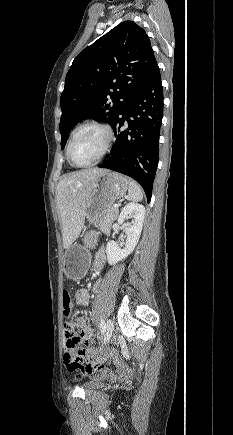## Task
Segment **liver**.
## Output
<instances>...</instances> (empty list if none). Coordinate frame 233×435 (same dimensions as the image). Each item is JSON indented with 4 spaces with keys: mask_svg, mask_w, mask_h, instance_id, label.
<instances>
[{
    "mask_svg": "<svg viewBox=\"0 0 233 435\" xmlns=\"http://www.w3.org/2000/svg\"><path fill=\"white\" fill-rule=\"evenodd\" d=\"M106 171L100 168L84 169L69 174L58 183L56 202L65 249H68L80 235L96 179Z\"/></svg>",
    "mask_w": 233,
    "mask_h": 435,
    "instance_id": "obj_1",
    "label": "liver"
}]
</instances>
